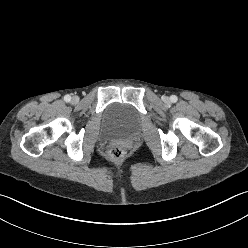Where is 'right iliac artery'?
<instances>
[{"instance_id": "1", "label": "right iliac artery", "mask_w": 248, "mask_h": 248, "mask_svg": "<svg viewBox=\"0 0 248 248\" xmlns=\"http://www.w3.org/2000/svg\"><path fill=\"white\" fill-rule=\"evenodd\" d=\"M64 100H65L66 102H69V101L71 100V96H70V95H65V96H64Z\"/></svg>"}]
</instances>
